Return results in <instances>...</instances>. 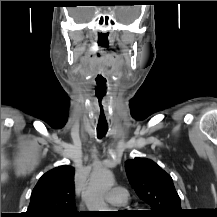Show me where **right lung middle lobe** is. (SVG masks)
Returning <instances> with one entry per match:
<instances>
[{"mask_svg": "<svg viewBox=\"0 0 217 217\" xmlns=\"http://www.w3.org/2000/svg\"><path fill=\"white\" fill-rule=\"evenodd\" d=\"M78 215H63L61 217H77Z\"/></svg>", "mask_w": 217, "mask_h": 217, "instance_id": "obj_1", "label": "right lung middle lobe"}]
</instances>
